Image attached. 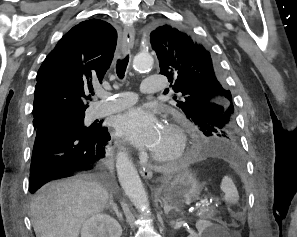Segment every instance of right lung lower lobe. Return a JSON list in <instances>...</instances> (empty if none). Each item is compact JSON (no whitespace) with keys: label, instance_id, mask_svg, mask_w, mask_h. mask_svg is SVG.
<instances>
[{"label":"right lung lower lobe","instance_id":"1","mask_svg":"<svg viewBox=\"0 0 297 237\" xmlns=\"http://www.w3.org/2000/svg\"><path fill=\"white\" fill-rule=\"evenodd\" d=\"M30 167V193L52 180L82 173H94L106 179L108 160L106 127L95 124L91 130L76 126L57 114L46 116L36 128Z\"/></svg>","mask_w":297,"mask_h":237}]
</instances>
